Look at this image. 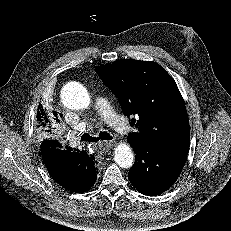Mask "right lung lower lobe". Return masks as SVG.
Returning a JSON list of instances; mask_svg holds the SVG:
<instances>
[{"label":"right lung lower lobe","instance_id":"1","mask_svg":"<svg viewBox=\"0 0 231 231\" xmlns=\"http://www.w3.org/2000/svg\"><path fill=\"white\" fill-rule=\"evenodd\" d=\"M63 150L64 148L60 145V143L50 144L47 142H43L41 144V154L43 161L49 160V162H57L59 160H63L62 157H66ZM79 153V159H81L82 162L85 164H81L78 166L79 179L75 182L73 186L61 184L59 178L49 172L51 177L58 184L73 192H85L89 190L96 181V168L94 164V157L92 155H88L85 151ZM68 157L70 156L68 155Z\"/></svg>","mask_w":231,"mask_h":231}]
</instances>
